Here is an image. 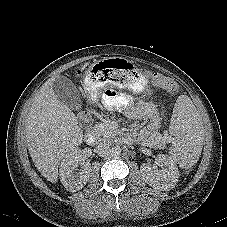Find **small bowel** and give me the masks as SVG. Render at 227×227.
I'll return each mask as SVG.
<instances>
[{"mask_svg":"<svg viewBox=\"0 0 227 227\" xmlns=\"http://www.w3.org/2000/svg\"><path fill=\"white\" fill-rule=\"evenodd\" d=\"M103 106L106 109H112L118 105L124 104V99L121 97H118L115 93L111 91H107L102 99ZM158 127V121L156 119H153L150 121L148 128L152 131L156 130Z\"/></svg>","mask_w":227,"mask_h":227,"instance_id":"c3829d8e","label":"small bowel"}]
</instances>
